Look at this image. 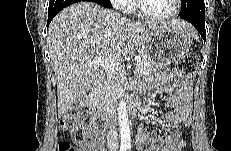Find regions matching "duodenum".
I'll list each match as a JSON object with an SVG mask.
<instances>
[{"mask_svg": "<svg viewBox=\"0 0 231 151\" xmlns=\"http://www.w3.org/2000/svg\"><path fill=\"white\" fill-rule=\"evenodd\" d=\"M96 95H97V85H94L91 88L90 94L85 99L86 106L90 110H92L94 108L93 100L95 99ZM126 101L128 102L129 100L126 98ZM130 103H131V113L135 114L137 111V104L133 103V102H130ZM93 116H95V115H93ZM95 117H96V120H98V119L102 120L105 123L107 128L111 127V122H112L113 116H112V113L110 111L100 110L98 115Z\"/></svg>", "mask_w": 231, "mask_h": 151, "instance_id": "duodenum-1", "label": "duodenum"}]
</instances>
